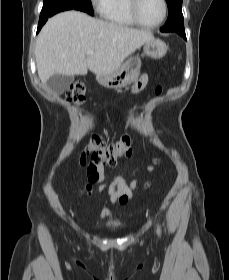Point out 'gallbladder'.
Returning <instances> with one entry per match:
<instances>
[{
  "label": "gallbladder",
  "instance_id": "gallbladder-1",
  "mask_svg": "<svg viewBox=\"0 0 229 280\" xmlns=\"http://www.w3.org/2000/svg\"><path fill=\"white\" fill-rule=\"evenodd\" d=\"M74 81V76L55 74L47 81V86L56 94H63Z\"/></svg>",
  "mask_w": 229,
  "mask_h": 280
}]
</instances>
